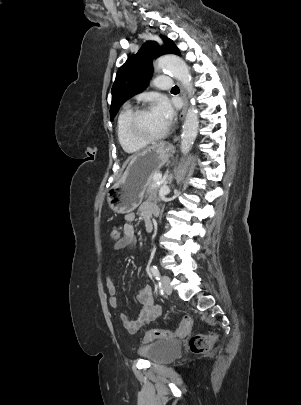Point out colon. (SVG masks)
<instances>
[{
  "mask_svg": "<svg viewBox=\"0 0 301 405\" xmlns=\"http://www.w3.org/2000/svg\"><path fill=\"white\" fill-rule=\"evenodd\" d=\"M111 235L110 238L113 242L117 241L119 235L118 225H111ZM192 326V320L190 317H184L182 323L177 330H164V329H150L145 336L142 338L143 343H148L154 339H170L174 337H182L186 335ZM217 340V335L215 333L209 334H197L190 338L189 346L190 350L195 354H204L209 351L214 342Z\"/></svg>",
  "mask_w": 301,
  "mask_h": 405,
  "instance_id": "5ec220e1",
  "label": "colon"
}]
</instances>
